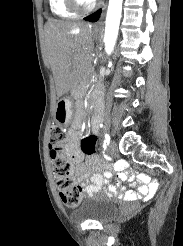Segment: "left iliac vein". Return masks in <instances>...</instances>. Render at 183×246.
<instances>
[{
    "instance_id": "obj_1",
    "label": "left iliac vein",
    "mask_w": 183,
    "mask_h": 246,
    "mask_svg": "<svg viewBox=\"0 0 183 246\" xmlns=\"http://www.w3.org/2000/svg\"><path fill=\"white\" fill-rule=\"evenodd\" d=\"M118 153V147L115 141H111L108 146V154L115 156Z\"/></svg>"
}]
</instances>
